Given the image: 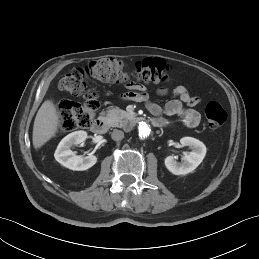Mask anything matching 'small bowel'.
Here are the masks:
<instances>
[{
  "instance_id": "small-bowel-1",
  "label": "small bowel",
  "mask_w": 259,
  "mask_h": 259,
  "mask_svg": "<svg viewBox=\"0 0 259 259\" xmlns=\"http://www.w3.org/2000/svg\"><path fill=\"white\" fill-rule=\"evenodd\" d=\"M157 93L159 95H166L168 90L166 88H160ZM172 93L176 98L168 101L164 107H161L159 104L150 100L144 86L132 83L127 86V91L122 95V98L124 100L144 103L147 110L155 117H159L162 113L167 116H181L184 126L188 128L198 126L201 116L199 112L194 109V106L199 103L200 99L191 96L188 90L181 85L176 86Z\"/></svg>"
}]
</instances>
